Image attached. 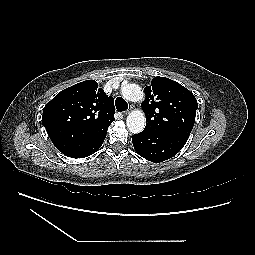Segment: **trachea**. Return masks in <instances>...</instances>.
I'll use <instances>...</instances> for the list:
<instances>
[{"label": "trachea", "mask_w": 255, "mask_h": 255, "mask_svg": "<svg viewBox=\"0 0 255 255\" xmlns=\"http://www.w3.org/2000/svg\"><path fill=\"white\" fill-rule=\"evenodd\" d=\"M115 106H116V109L119 111V112H123V111H126L128 109V104L127 102L121 98V97H118L116 100H115Z\"/></svg>", "instance_id": "3493384b"}]
</instances>
